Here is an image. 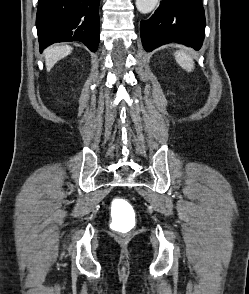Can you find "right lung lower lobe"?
<instances>
[{"label": "right lung lower lobe", "instance_id": "right-lung-lower-lobe-1", "mask_svg": "<svg viewBox=\"0 0 249 294\" xmlns=\"http://www.w3.org/2000/svg\"><path fill=\"white\" fill-rule=\"evenodd\" d=\"M100 0H39L36 26L40 51L55 42L81 41L95 52L99 44Z\"/></svg>", "mask_w": 249, "mask_h": 294}]
</instances>
